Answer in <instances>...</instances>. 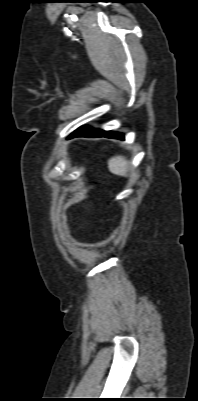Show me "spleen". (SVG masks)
<instances>
[{"instance_id":"3e777b00","label":"spleen","mask_w":198,"mask_h":401,"mask_svg":"<svg viewBox=\"0 0 198 401\" xmlns=\"http://www.w3.org/2000/svg\"><path fill=\"white\" fill-rule=\"evenodd\" d=\"M108 168L111 173L126 177L129 163L125 157L115 156L108 160Z\"/></svg>"}]
</instances>
